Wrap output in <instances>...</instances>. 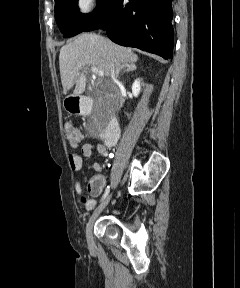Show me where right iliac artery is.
Listing matches in <instances>:
<instances>
[{"instance_id": "right-iliac-artery-1", "label": "right iliac artery", "mask_w": 240, "mask_h": 288, "mask_svg": "<svg viewBox=\"0 0 240 288\" xmlns=\"http://www.w3.org/2000/svg\"><path fill=\"white\" fill-rule=\"evenodd\" d=\"M109 191H110V186H107V188H106V190H105V192L101 198V201H103L107 197V195L109 194Z\"/></svg>"}]
</instances>
